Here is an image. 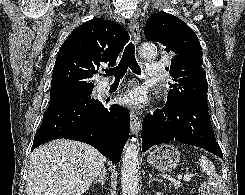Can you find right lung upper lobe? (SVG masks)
<instances>
[{
    "label": "right lung upper lobe",
    "instance_id": "obj_1",
    "mask_svg": "<svg viewBox=\"0 0 245 195\" xmlns=\"http://www.w3.org/2000/svg\"><path fill=\"white\" fill-rule=\"evenodd\" d=\"M128 40L126 29L113 21L96 18L74 29L58 52L50 94L94 88L100 65L113 66Z\"/></svg>",
    "mask_w": 245,
    "mask_h": 195
}]
</instances>
